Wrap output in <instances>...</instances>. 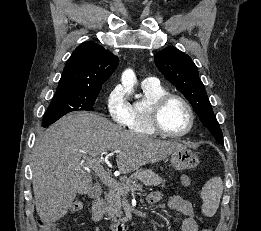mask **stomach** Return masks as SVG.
Returning a JSON list of instances; mask_svg holds the SVG:
<instances>
[{
	"label": "stomach",
	"instance_id": "obj_1",
	"mask_svg": "<svg viewBox=\"0 0 261 231\" xmlns=\"http://www.w3.org/2000/svg\"><path fill=\"white\" fill-rule=\"evenodd\" d=\"M170 161L172 167L178 171L194 168L199 164L198 156L186 146L173 151Z\"/></svg>",
	"mask_w": 261,
	"mask_h": 231
}]
</instances>
